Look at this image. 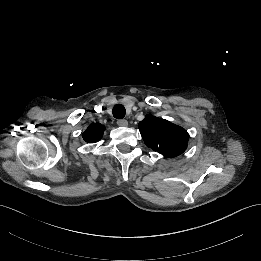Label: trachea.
I'll list each match as a JSON object with an SVG mask.
<instances>
[{"label":"trachea","instance_id":"1","mask_svg":"<svg viewBox=\"0 0 261 261\" xmlns=\"http://www.w3.org/2000/svg\"><path fill=\"white\" fill-rule=\"evenodd\" d=\"M126 114V109L122 104H116L113 107V116L117 119H122L124 118Z\"/></svg>","mask_w":261,"mask_h":261}]
</instances>
